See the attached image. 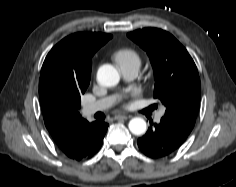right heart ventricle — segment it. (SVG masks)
I'll return each instance as SVG.
<instances>
[{
    "mask_svg": "<svg viewBox=\"0 0 236 187\" xmlns=\"http://www.w3.org/2000/svg\"><path fill=\"white\" fill-rule=\"evenodd\" d=\"M113 60L121 71L129 68L139 69L142 63L138 52L132 48H120L113 53Z\"/></svg>",
    "mask_w": 236,
    "mask_h": 187,
    "instance_id": "obj_1",
    "label": "right heart ventricle"
}]
</instances>
